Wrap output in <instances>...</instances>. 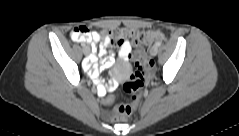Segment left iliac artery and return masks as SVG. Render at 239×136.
Returning <instances> with one entry per match:
<instances>
[{
    "instance_id": "1",
    "label": "left iliac artery",
    "mask_w": 239,
    "mask_h": 136,
    "mask_svg": "<svg viewBox=\"0 0 239 136\" xmlns=\"http://www.w3.org/2000/svg\"><path fill=\"white\" fill-rule=\"evenodd\" d=\"M160 45H161L160 42H156V43H155V46H156V47H159Z\"/></svg>"
}]
</instances>
